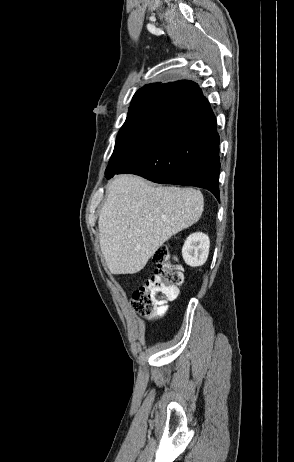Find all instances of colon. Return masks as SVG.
<instances>
[{
    "label": "colon",
    "mask_w": 294,
    "mask_h": 462,
    "mask_svg": "<svg viewBox=\"0 0 294 462\" xmlns=\"http://www.w3.org/2000/svg\"><path fill=\"white\" fill-rule=\"evenodd\" d=\"M155 270L133 293L131 306L146 320H154L167 310L166 302L179 293L184 276L183 269L166 247L159 248L154 256Z\"/></svg>",
    "instance_id": "colon-1"
}]
</instances>
